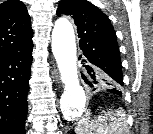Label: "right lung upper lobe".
<instances>
[{"label": "right lung upper lobe", "mask_w": 153, "mask_h": 134, "mask_svg": "<svg viewBox=\"0 0 153 134\" xmlns=\"http://www.w3.org/2000/svg\"><path fill=\"white\" fill-rule=\"evenodd\" d=\"M31 21L23 2L7 0L0 4V58L33 45Z\"/></svg>", "instance_id": "right-lung-upper-lobe-1"}]
</instances>
